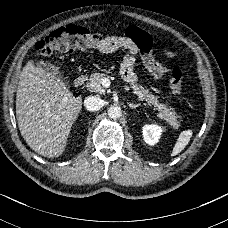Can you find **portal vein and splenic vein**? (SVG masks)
<instances>
[{"mask_svg": "<svg viewBox=\"0 0 228 228\" xmlns=\"http://www.w3.org/2000/svg\"><path fill=\"white\" fill-rule=\"evenodd\" d=\"M109 84H110V81L108 79L102 80L101 85H102L103 88L108 87Z\"/></svg>", "mask_w": 228, "mask_h": 228, "instance_id": "18ae733b", "label": "portal vein and splenic vein"}]
</instances>
